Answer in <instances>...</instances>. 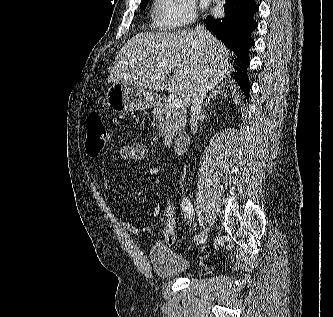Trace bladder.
<instances>
[{
	"mask_svg": "<svg viewBox=\"0 0 333 317\" xmlns=\"http://www.w3.org/2000/svg\"><path fill=\"white\" fill-rule=\"evenodd\" d=\"M148 256L154 272L162 278L185 275L194 266L188 257L177 253L164 244L153 245Z\"/></svg>",
	"mask_w": 333,
	"mask_h": 317,
	"instance_id": "31cf9c89",
	"label": "bladder"
}]
</instances>
